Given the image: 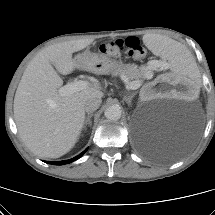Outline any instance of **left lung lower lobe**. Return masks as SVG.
Wrapping results in <instances>:
<instances>
[{
    "mask_svg": "<svg viewBox=\"0 0 215 215\" xmlns=\"http://www.w3.org/2000/svg\"><path fill=\"white\" fill-rule=\"evenodd\" d=\"M155 155L162 157V158H172L173 156H176V153L170 146H162L159 148L156 152Z\"/></svg>",
    "mask_w": 215,
    "mask_h": 215,
    "instance_id": "left-lung-lower-lobe-1",
    "label": "left lung lower lobe"
}]
</instances>
